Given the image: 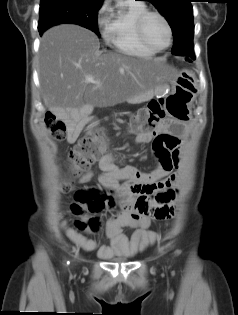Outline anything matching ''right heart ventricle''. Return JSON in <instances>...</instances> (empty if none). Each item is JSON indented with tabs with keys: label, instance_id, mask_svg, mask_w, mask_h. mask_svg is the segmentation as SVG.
I'll return each instance as SVG.
<instances>
[{
	"label": "right heart ventricle",
	"instance_id": "1",
	"mask_svg": "<svg viewBox=\"0 0 238 315\" xmlns=\"http://www.w3.org/2000/svg\"><path fill=\"white\" fill-rule=\"evenodd\" d=\"M145 4L138 0H124L117 10L105 20L103 39L113 50L132 56L150 57L156 52L139 40L136 24L139 16L147 11Z\"/></svg>",
	"mask_w": 238,
	"mask_h": 315
}]
</instances>
